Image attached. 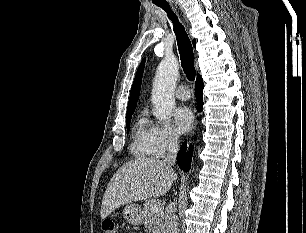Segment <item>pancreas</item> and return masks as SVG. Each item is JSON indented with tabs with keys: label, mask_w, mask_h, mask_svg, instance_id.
I'll return each mask as SVG.
<instances>
[{
	"label": "pancreas",
	"mask_w": 306,
	"mask_h": 233,
	"mask_svg": "<svg viewBox=\"0 0 306 233\" xmlns=\"http://www.w3.org/2000/svg\"><path fill=\"white\" fill-rule=\"evenodd\" d=\"M153 204V200H147L143 204V215L145 218L144 226L149 230L150 233H165L163 210H160L157 213H152L151 206Z\"/></svg>",
	"instance_id": "cf45deb5"
}]
</instances>
